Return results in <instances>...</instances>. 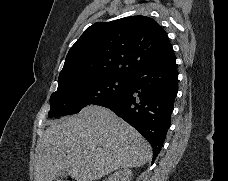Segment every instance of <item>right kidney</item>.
<instances>
[{"mask_svg": "<svg viewBox=\"0 0 228 181\" xmlns=\"http://www.w3.org/2000/svg\"><path fill=\"white\" fill-rule=\"evenodd\" d=\"M108 181H132V173L130 169H120V171L110 175Z\"/></svg>", "mask_w": 228, "mask_h": 181, "instance_id": "ca27d5eb", "label": "right kidney"}]
</instances>
